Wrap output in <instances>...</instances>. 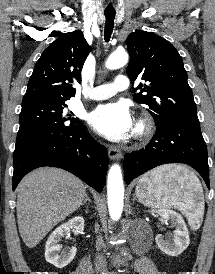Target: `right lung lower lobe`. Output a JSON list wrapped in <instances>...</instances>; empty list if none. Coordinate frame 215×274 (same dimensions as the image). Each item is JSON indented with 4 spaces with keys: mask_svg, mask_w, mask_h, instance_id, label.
Returning a JSON list of instances; mask_svg holds the SVG:
<instances>
[{
    "mask_svg": "<svg viewBox=\"0 0 215 274\" xmlns=\"http://www.w3.org/2000/svg\"><path fill=\"white\" fill-rule=\"evenodd\" d=\"M13 164V189L28 172L51 166L73 173L101 192L109 162L106 148L94 140L81 123L76 129L33 147Z\"/></svg>",
    "mask_w": 215,
    "mask_h": 274,
    "instance_id": "right-lung-lower-lobe-1",
    "label": "right lung lower lobe"
}]
</instances>
